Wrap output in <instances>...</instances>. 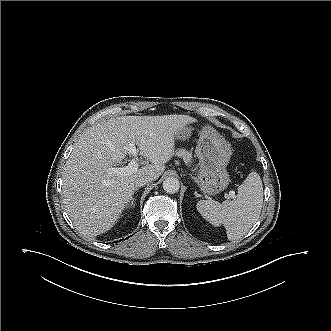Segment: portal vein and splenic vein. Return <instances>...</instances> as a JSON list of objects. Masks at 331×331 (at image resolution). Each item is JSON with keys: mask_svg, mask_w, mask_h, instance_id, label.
<instances>
[{"mask_svg": "<svg viewBox=\"0 0 331 331\" xmlns=\"http://www.w3.org/2000/svg\"><path fill=\"white\" fill-rule=\"evenodd\" d=\"M126 149L134 156L137 154L135 144H133V143H130ZM109 170L118 175L130 174V173L136 172L138 170V162L135 158H133L130 161V163L128 164V166L121 167V168H119V167L110 168ZM229 197H231V198L234 197L233 191L229 192Z\"/></svg>", "mask_w": 331, "mask_h": 331, "instance_id": "18ae733b", "label": "portal vein and splenic vein"}]
</instances>
